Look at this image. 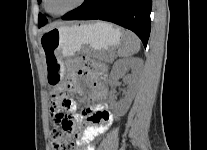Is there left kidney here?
Wrapping results in <instances>:
<instances>
[{
  "label": "left kidney",
  "mask_w": 207,
  "mask_h": 150,
  "mask_svg": "<svg viewBox=\"0 0 207 150\" xmlns=\"http://www.w3.org/2000/svg\"><path fill=\"white\" fill-rule=\"evenodd\" d=\"M139 63L140 61L138 59H123L117 61L114 64L111 72V84L114 85L116 79L119 76L123 75L127 70V68H132L133 70H136L138 68ZM126 82L128 84H131L132 77H128L126 79ZM134 96H135V88L131 86L129 90L126 92L125 97L120 102L117 103L114 97H111L110 106L114 114L117 116L125 115L132 103Z\"/></svg>",
  "instance_id": "1"
}]
</instances>
